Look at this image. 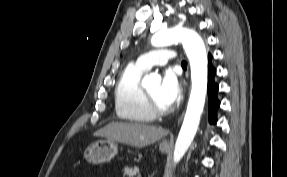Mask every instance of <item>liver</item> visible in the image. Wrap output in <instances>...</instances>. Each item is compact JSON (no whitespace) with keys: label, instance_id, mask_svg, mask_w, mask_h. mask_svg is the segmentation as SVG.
I'll list each match as a JSON object with an SVG mask.
<instances>
[{"label":"liver","instance_id":"6515ba94","mask_svg":"<svg viewBox=\"0 0 287 177\" xmlns=\"http://www.w3.org/2000/svg\"><path fill=\"white\" fill-rule=\"evenodd\" d=\"M167 130L139 123L112 122L94 133V136L117 141L135 148H143L160 140Z\"/></svg>","mask_w":287,"mask_h":177}]
</instances>
